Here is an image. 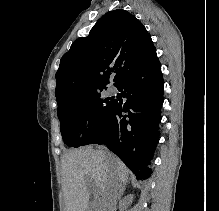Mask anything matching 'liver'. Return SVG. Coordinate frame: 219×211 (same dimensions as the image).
<instances>
[{"label": "liver", "mask_w": 219, "mask_h": 211, "mask_svg": "<svg viewBox=\"0 0 219 211\" xmlns=\"http://www.w3.org/2000/svg\"><path fill=\"white\" fill-rule=\"evenodd\" d=\"M130 169L125 163L105 149H72L62 159V189L66 211H88L89 197L95 187H89L86 175L94 179L97 193L102 199L96 203L97 211L104 209L105 201L117 191L118 185H127ZM114 205V203H112ZM109 211V209H108Z\"/></svg>", "instance_id": "1"}]
</instances>
